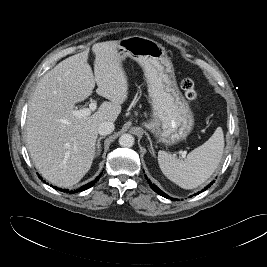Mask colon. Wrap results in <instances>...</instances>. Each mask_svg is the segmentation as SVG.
Segmentation results:
<instances>
[{
	"label": "colon",
	"mask_w": 267,
	"mask_h": 267,
	"mask_svg": "<svg viewBox=\"0 0 267 267\" xmlns=\"http://www.w3.org/2000/svg\"><path fill=\"white\" fill-rule=\"evenodd\" d=\"M182 90L185 94V97L190 100L194 101L197 97V91L195 87V83L191 78H185L181 83Z\"/></svg>",
	"instance_id": "5ec220e1"
}]
</instances>
